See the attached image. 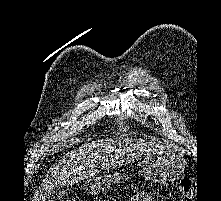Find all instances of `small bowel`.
<instances>
[{"instance_id": "small-bowel-1", "label": "small bowel", "mask_w": 221, "mask_h": 201, "mask_svg": "<svg viewBox=\"0 0 221 201\" xmlns=\"http://www.w3.org/2000/svg\"><path fill=\"white\" fill-rule=\"evenodd\" d=\"M128 201H153L148 193H137L133 195Z\"/></svg>"}]
</instances>
